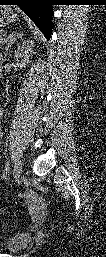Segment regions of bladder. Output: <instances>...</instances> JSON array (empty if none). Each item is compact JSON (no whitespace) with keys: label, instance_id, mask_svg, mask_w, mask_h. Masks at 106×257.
<instances>
[{"label":"bladder","instance_id":"obj_1","mask_svg":"<svg viewBox=\"0 0 106 257\" xmlns=\"http://www.w3.org/2000/svg\"><path fill=\"white\" fill-rule=\"evenodd\" d=\"M32 241L29 233H19L10 237L6 243V249L10 253H19L23 251Z\"/></svg>","mask_w":106,"mask_h":257}]
</instances>
